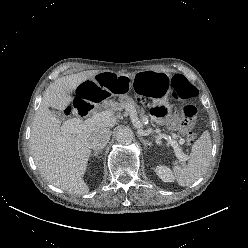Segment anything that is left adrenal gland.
Instances as JSON below:
<instances>
[{
	"label": "left adrenal gland",
	"instance_id": "a2214340",
	"mask_svg": "<svg viewBox=\"0 0 248 248\" xmlns=\"http://www.w3.org/2000/svg\"><path fill=\"white\" fill-rule=\"evenodd\" d=\"M140 141L144 144V148H146L147 146H151V144L144 138H140Z\"/></svg>",
	"mask_w": 248,
	"mask_h": 248
}]
</instances>
